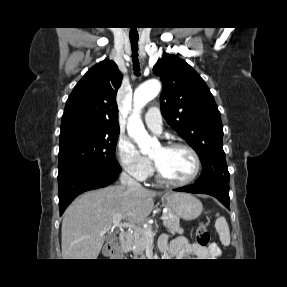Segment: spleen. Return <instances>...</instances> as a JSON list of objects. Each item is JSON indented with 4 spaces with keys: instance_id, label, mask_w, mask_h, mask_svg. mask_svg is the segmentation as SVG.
I'll return each mask as SVG.
<instances>
[{
    "instance_id": "spleen-1",
    "label": "spleen",
    "mask_w": 287,
    "mask_h": 287,
    "mask_svg": "<svg viewBox=\"0 0 287 287\" xmlns=\"http://www.w3.org/2000/svg\"><path fill=\"white\" fill-rule=\"evenodd\" d=\"M215 228L220 236L221 243L224 246H228L230 244L229 226L226 219L224 217H220L219 214H217Z\"/></svg>"
}]
</instances>
